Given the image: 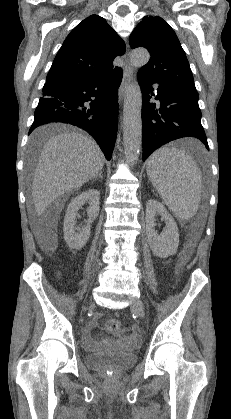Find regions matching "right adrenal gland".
Masks as SVG:
<instances>
[{
	"instance_id": "1",
	"label": "right adrenal gland",
	"mask_w": 231,
	"mask_h": 419,
	"mask_svg": "<svg viewBox=\"0 0 231 419\" xmlns=\"http://www.w3.org/2000/svg\"><path fill=\"white\" fill-rule=\"evenodd\" d=\"M98 178H100V179H103V176H102V171L101 172H99L95 177H94V180H97Z\"/></svg>"
}]
</instances>
